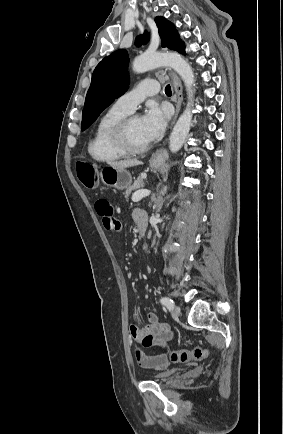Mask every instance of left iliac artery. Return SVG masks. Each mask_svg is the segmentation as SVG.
I'll use <instances>...</instances> for the list:
<instances>
[{"instance_id": "obj_1", "label": "left iliac artery", "mask_w": 283, "mask_h": 434, "mask_svg": "<svg viewBox=\"0 0 283 434\" xmlns=\"http://www.w3.org/2000/svg\"><path fill=\"white\" fill-rule=\"evenodd\" d=\"M160 302L164 306H166L169 310H171L174 307V302L171 299L167 298V297H162L161 300H160Z\"/></svg>"}]
</instances>
